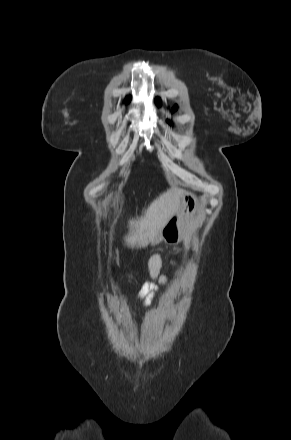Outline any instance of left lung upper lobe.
<instances>
[{"label":"left lung upper lobe","instance_id":"obj_1","mask_svg":"<svg viewBox=\"0 0 291 440\" xmlns=\"http://www.w3.org/2000/svg\"><path fill=\"white\" fill-rule=\"evenodd\" d=\"M155 103H156L157 106H161V100H160L159 97H156V98H155ZM176 109H177V106L175 105V106L172 108V112L176 111ZM168 122H169V121H168ZM169 123H170V122H169Z\"/></svg>","mask_w":291,"mask_h":440}]
</instances>
